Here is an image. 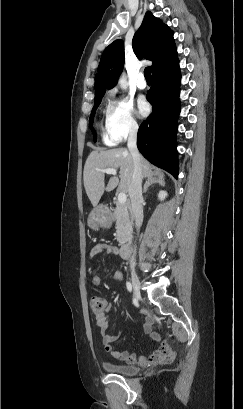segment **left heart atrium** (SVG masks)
<instances>
[{
    "mask_svg": "<svg viewBox=\"0 0 243 409\" xmlns=\"http://www.w3.org/2000/svg\"><path fill=\"white\" fill-rule=\"evenodd\" d=\"M138 111L141 116H146L150 111L148 103L145 102L144 100H140L138 102Z\"/></svg>",
    "mask_w": 243,
    "mask_h": 409,
    "instance_id": "1",
    "label": "left heart atrium"
}]
</instances>
